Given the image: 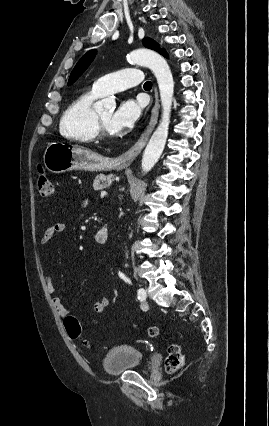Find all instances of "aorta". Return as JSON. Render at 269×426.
<instances>
[{"mask_svg":"<svg viewBox=\"0 0 269 426\" xmlns=\"http://www.w3.org/2000/svg\"><path fill=\"white\" fill-rule=\"evenodd\" d=\"M129 62L146 66L154 73L161 98L162 116L157 129L152 134L142 157L141 167L144 173L149 172L159 160L167 138L170 124V114L174 94V81L169 65L158 53L149 49H137L128 55ZM111 99H103L96 102V111H102L105 107H114Z\"/></svg>","mask_w":269,"mask_h":426,"instance_id":"762f6f07","label":"aorta"}]
</instances>
